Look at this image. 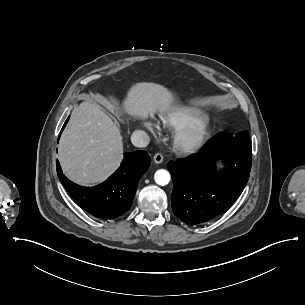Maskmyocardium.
Masks as SVG:
<instances>
[{"mask_svg": "<svg viewBox=\"0 0 305 305\" xmlns=\"http://www.w3.org/2000/svg\"><path fill=\"white\" fill-rule=\"evenodd\" d=\"M213 131L214 122L210 117L189 123L178 131L176 145L183 151L197 150L210 141Z\"/></svg>", "mask_w": 305, "mask_h": 305, "instance_id": "1", "label": "myocardium"}]
</instances>
